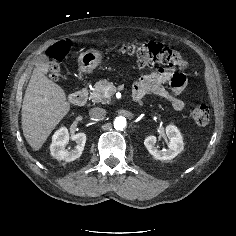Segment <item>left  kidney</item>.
Returning <instances> with one entry per match:
<instances>
[{"instance_id":"left-kidney-1","label":"left kidney","mask_w":236,"mask_h":236,"mask_svg":"<svg viewBox=\"0 0 236 236\" xmlns=\"http://www.w3.org/2000/svg\"><path fill=\"white\" fill-rule=\"evenodd\" d=\"M165 131L170 141L167 150H159L156 148L155 143L157 138L155 136H148L144 140V145L148 152L158 160H171L184 149L182 135L176 126L168 125Z\"/></svg>"}]
</instances>
